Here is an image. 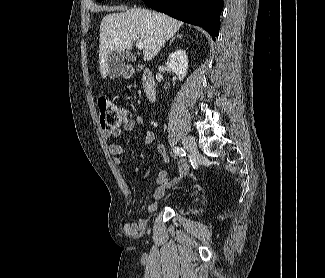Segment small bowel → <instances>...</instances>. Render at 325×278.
Returning <instances> with one entry per match:
<instances>
[{
	"label": "small bowel",
	"mask_w": 325,
	"mask_h": 278,
	"mask_svg": "<svg viewBox=\"0 0 325 278\" xmlns=\"http://www.w3.org/2000/svg\"><path fill=\"white\" fill-rule=\"evenodd\" d=\"M145 124V118L142 115H136L134 118L130 119L126 123H124L121 127L114 130H105L103 131V136L105 138H117L121 135L122 132H132L136 127H141ZM155 139L154 129L149 127L146 130V134L143 139V144L145 146H149L153 143ZM157 149L160 154L163 156V160L168 162V158L165 155V149L163 144L159 143L157 145ZM109 153L113 156V162L115 165L122 164V156L125 153V149L121 144L112 143L108 146ZM149 169H147L140 177L134 179L135 183H142L149 174ZM190 173V165L186 159H182L179 161L177 166V173L174 178L168 177V172L166 170H161L158 173L156 179V188L153 192L154 201L149 203L148 208L154 209L156 207V201L161 199L164 196L166 188H169L182 179H184Z\"/></svg>",
	"instance_id": "c3829d8e"
}]
</instances>
